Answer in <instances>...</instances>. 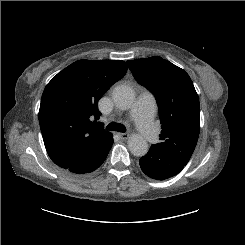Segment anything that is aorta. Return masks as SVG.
Returning <instances> with one entry per match:
<instances>
[{"mask_svg": "<svg viewBox=\"0 0 245 245\" xmlns=\"http://www.w3.org/2000/svg\"><path fill=\"white\" fill-rule=\"evenodd\" d=\"M135 94L131 87L119 85L113 90V100L120 109H128L134 102ZM130 152L137 157L147 154L149 146L147 141L138 134H132L128 139Z\"/></svg>", "mask_w": 245, "mask_h": 245, "instance_id": "obj_1", "label": "aorta"}]
</instances>
